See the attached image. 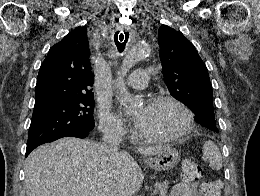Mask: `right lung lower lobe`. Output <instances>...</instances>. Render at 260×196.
<instances>
[{"mask_svg": "<svg viewBox=\"0 0 260 196\" xmlns=\"http://www.w3.org/2000/svg\"><path fill=\"white\" fill-rule=\"evenodd\" d=\"M89 135V132H80V133H75L69 137H77V138H85ZM33 149H26V157L28 156V154L32 151Z\"/></svg>", "mask_w": 260, "mask_h": 196, "instance_id": "98d812e1", "label": "right lung lower lobe"}]
</instances>
